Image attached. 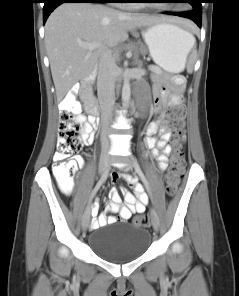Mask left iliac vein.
<instances>
[{
    "label": "left iliac vein",
    "mask_w": 239,
    "mask_h": 296,
    "mask_svg": "<svg viewBox=\"0 0 239 296\" xmlns=\"http://www.w3.org/2000/svg\"><path fill=\"white\" fill-rule=\"evenodd\" d=\"M132 168H133V165L128 161L123 169L126 171H129V170H132ZM150 216H151V223L153 225L154 230L158 231L160 226V221H159L158 214L154 208L150 209Z\"/></svg>",
    "instance_id": "obj_1"
}]
</instances>
